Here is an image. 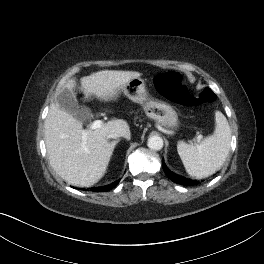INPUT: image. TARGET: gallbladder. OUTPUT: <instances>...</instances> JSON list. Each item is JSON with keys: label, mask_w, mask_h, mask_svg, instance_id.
<instances>
[{"label": "gallbladder", "mask_w": 264, "mask_h": 264, "mask_svg": "<svg viewBox=\"0 0 264 264\" xmlns=\"http://www.w3.org/2000/svg\"><path fill=\"white\" fill-rule=\"evenodd\" d=\"M56 103L60 109L73 115L79 121H84L91 117V110L86 106H80L73 91L67 88L59 91Z\"/></svg>", "instance_id": "gallbladder-1"}]
</instances>
